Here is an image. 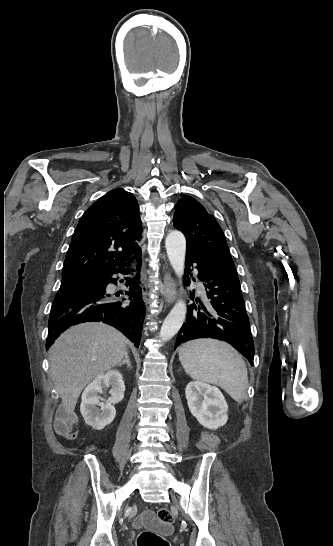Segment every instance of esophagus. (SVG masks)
Here are the masks:
<instances>
[{
	"label": "esophagus",
	"instance_id": "obj_1",
	"mask_svg": "<svg viewBox=\"0 0 333 546\" xmlns=\"http://www.w3.org/2000/svg\"><path fill=\"white\" fill-rule=\"evenodd\" d=\"M163 281L165 301L171 304L175 301L177 297L175 288L176 284L170 272H168L167 270L164 271Z\"/></svg>",
	"mask_w": 333,
	"mask_h": 546
}]
</instances>
